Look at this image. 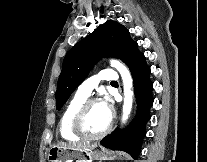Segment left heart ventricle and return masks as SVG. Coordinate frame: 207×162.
<instances>
[{
  "mask_svg": "<svg viewBox=\"0 0 207 162\" xmlns=\"http://www.w3.org/2000/svg\"><path fill=\"white\" fill-rule=\"evenodd\" d=\"M110 121V116L101 103L94 104L86 113L84 127L90 134H98L103 131Z\"/></svg>",
  "mask_w": 207,
  "mask_h": 162,
  "instance_id": "obj_1",
  "label": "left heart ventricle"
}]
</instances>
